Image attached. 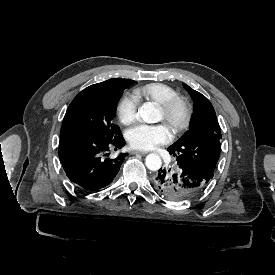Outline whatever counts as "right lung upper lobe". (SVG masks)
Here are the masks:
<instances>
[{
	"instance_id": "1",
	"label": "right lung upper lobe",
	"mask_w": 275,
	"mask_h": 275,
	"mask_svg": "<svg viewBox=\"0 0 275 275\" xmlns=\"http://www.w3.org/2000/svg\"><path fill=\"white\" fill-rule=\"evenodd\" d=\"M133 80L129 79H110L101 83L94 84L95 86H103V85H117V84H129Z\"/></svg>"
}]
</instances>
